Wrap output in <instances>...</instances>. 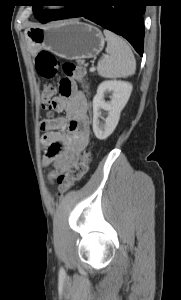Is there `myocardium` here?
Returning a JSON list of instances; mask_svg holds the SVG:
<instances>
[{"mask_svg": "<svg viewBox=\"0 0 181 300\" xmlns=\"http://www.w3.org/2000/svg\"><path fill=\"white\" fill-rule=\"evenodd\" d=\"M46 9L56 11V10L61 9V6H48V7H46Z\"/></svg>", "mask_w": 181, "mask_h": 300, "instance_id": "1", "label": "myocardium"}]
</instances>
